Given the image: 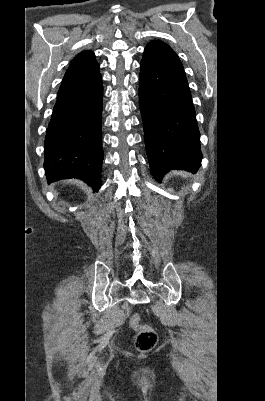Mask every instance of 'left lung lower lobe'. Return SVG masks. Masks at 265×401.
<instances>
[{"instance_id": "left-lung-lower-lobe-1", "label": "left lung lower lobe", "mask_w": 265, "mask_h": 401, "mask_svg": "<svg viewBox=\"0 0 265 401\" xmlns=\"http://www.w3.org/2000/svg\"><path fill=\"white\" fill-rule=\"evenodd\" d=\"M139 106L151 173L160 181L171 169L201 165L200 133L183 68L143 58Z\"/></svg>"}]
</instances>
